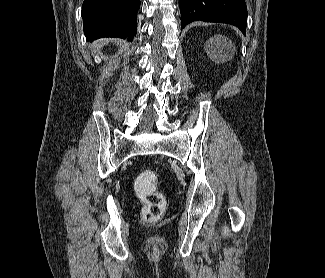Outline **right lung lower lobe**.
<instances>
[{
  "label": "right lung lower lobe",
  "instance_id": "1",
  "mask_svg": "<svg viewBox=\"0 0 325 278\" xmlns=\"http://www.w3.org/2000/svg\"><path fill=\"white\" fill-rule=\"evenodd\" d=\"M140 0H84L82 18L87 40L119 37L132 40L137 33Z\"/></svg>",
  "mask_w": 325,
  "mask_h": 278
}]
</instances>
